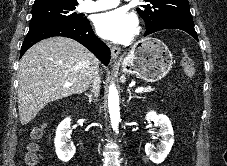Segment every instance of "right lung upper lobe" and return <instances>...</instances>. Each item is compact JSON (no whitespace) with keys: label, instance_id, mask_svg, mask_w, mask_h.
Returning a JSON list of instances; mask_svg holds the SVG:
<instances>
[{"label":"right lung upper lobe","instance_id":"cb5924a9","mask_svg":"<svg viewBox=\"0 0 227 166\" xmlns=\"http://www.w3.org/2000/svg\"><path fill=\"white\" fill-rule=\"evenodd\" d=\"M50 2H62V3H74L78 4L77 0H35L34 5L50 3Z\"/></svg>","mask_w":227,"mask_h":166}]
</instances>
